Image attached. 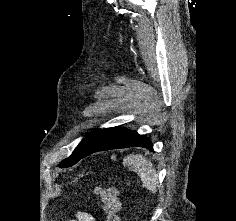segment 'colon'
Masks as SVG:
<instances>
[{
  "mask_svg": "<svg viewBox=\"0 0 236 221\" xmlns=\"http://www.w3.org/2000/svg\"><path fill=\"white\" fill-rule=\"evenodd\" d=\"M96 194L103 208V221H120L118 191L115 187H98Z\"/></svg>",
  "mask_w": 236,
  "mask_h": 221,
  "instance_id": "obj_1",
  "label": "colon"
}]
</instances>
